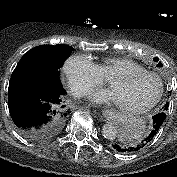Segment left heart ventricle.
I'll return each instance as SVG.
<instances>
[{"mask_svg": "<svg viewBox=\"0 0 177 177\" xmlns=\"http://www.w3.org/2000/svg\"><path fill=\"white\" fill-rule=\"evenodd\" d=\"M118 104L138 106L150 100L157 91V82L147 76L113 79L109 82Z\"/></svg>", "mask_w": 177, "mask_h": 177, "instance_id": "1", "label": "left heart ventricle"}]
</instances>
